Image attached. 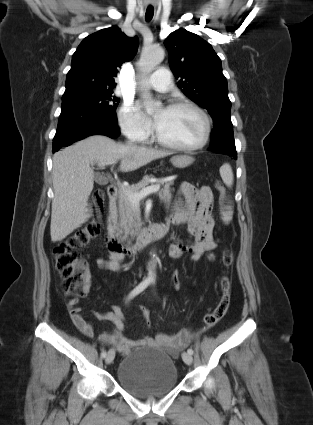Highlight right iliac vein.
I'll return each instance as SVG.
<instances>
[{
  "label": "right iliac vein",
  "instance_id": "1",
  "mask_svg": "<svg viewBox=\"0 0 313 425\" xmlns=\"http://www.w3.org/2000/svg\"><path fill=\"white\" fill-rule=\"evenodd\" d=\"M114 357H115V351L114 349H110L105 357L106 364L112 363V361L114 360Z\"/></svg>",
  "mask_w": 313,
  "mask_h": 425
}]
</instances>
